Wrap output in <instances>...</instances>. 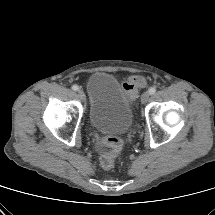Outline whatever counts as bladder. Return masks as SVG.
Here are the masks:
<instances>
[{
	"instance_id": "31cf9c89",
	"label": "bladder",
	"mask_w": 215,
	"mask_h": 215,
	"mask_svg": "<svg viewBox=\"0 0 215 215\" xmlns=\"http://www.w3.org/2000/svg\"><path fill=\"white\" fill-rule=\"evenodd\" d=\"M89 121L105 134H124L132 126L134 112L120 82L111 74L96 72L87 82Z\"/></svg>"
}]
</instances>
